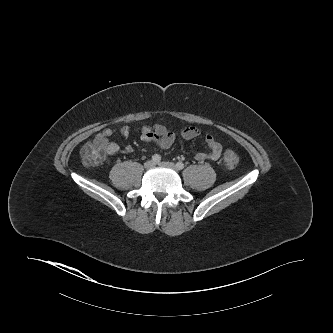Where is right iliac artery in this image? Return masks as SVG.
Returning <instances> with one entry per match:
<instances>
[{"label": "right iliac artery", "mask_w": 333, "mask_h": 333, "mask_svg": "<svg viewBox=\"0 0 333 333\" xmlns=\"http://www.w3.org/2000/svg\"><path fill=\"white\" fill-rule=\"evenodd\" d=\"M152 161H153L154 163H159V162L161 161V156L158 155V154L153 155V156H152Z\"/></svg>", "instance_id": "obj_1"}]
</instances>
